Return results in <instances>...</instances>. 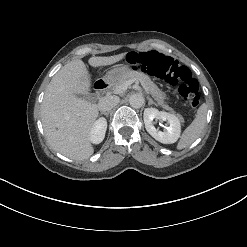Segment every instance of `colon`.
Returning <instances> with one entry per match:
<instances>
[{
  "label": "colon",
  "instance_id": "1",
  "mask_svg": "<svg viewBox=\"0 0 247 247\" xmlns=\"http://www.w3.org/2000/svg\"><path fill=\"white\" fill-rule=\"evenodd\" d=\"M126 62L165 80L170 85H179V93L189 106L196 108L199 105V82L187 66L157 51L129 53Z\"/></svg>",
  "mask_w": 247,
  "mask_h": 247
}]
</instances>
